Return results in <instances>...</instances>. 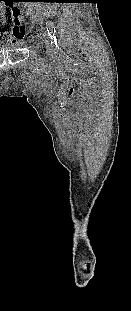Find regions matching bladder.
Returning a JSON list of instances; mask_svg holds the SVG:
<instances>
[{
	"instance_id": "bladder-1",
	"label": "bladder",
	"mask_w": 131,
	"mask_h": 311,
	"mask_svg": "<svg viewBox=\"0 0 131 311\" xmlns=\"http://www.w3.org/2000/svg\"><path fill=\"white\" fill-rule=\"evenodd\" d=\"M19 47H20L19 43H11V44L0 45V50L17 49Z\"/></svg>"
}]
</instances>
